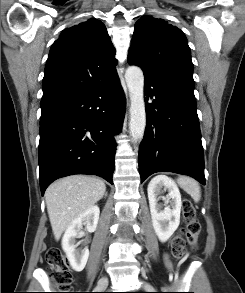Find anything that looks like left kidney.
Instances as JSON below:
<instances>
[{"label":"left kidney","instance_id":"left-kidney-1","mask_svg":"<svg viewBox=\"0 0 245 293\" xmlns=\"http://www.w3.org/2000/svg\"><path fill=\"white\" fill-rule=\"evenodd\" d=\"M163 187L169 191L165 197V204L170 203V206H166L164 209L158 204V195ZM147 191L155 233L161 242H166L180 224L181 194L177 185L170 178L163 175L152 178L148 184Z\"/></svg>","mask_w":245,"mask_h":293}]
</instances>
